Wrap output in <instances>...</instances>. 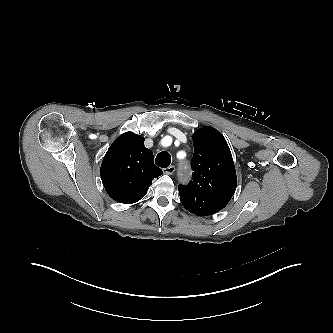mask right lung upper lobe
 Listing matches in <instances>:
<instances>
[{
    "label": "right lung upper lobe",
    "instance_id": "obj_1",
    "mask_svg": "<svg viewBox=\"0 0 333 333\" xmlns=\"http://www.w3.org/2000/svg\"><path fill=\"white\" fill-rule=\"evenodd\" d=\"M162 174L154 164L152 151L144 146V138L133 132H126L113 142L100 168L106 192L124 204L143 198L152 180Z\"/></svg>",
    "mask_w": 333,
    "mask_h": 333
}]
</instances>
